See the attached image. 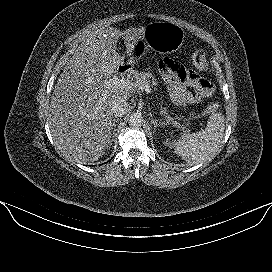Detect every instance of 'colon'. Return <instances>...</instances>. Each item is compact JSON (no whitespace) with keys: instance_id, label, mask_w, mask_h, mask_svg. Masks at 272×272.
<instances>
[{"instance_id":"1","label":"colon","mask_w":272,"mask_h":272,"mask_svg":"<svg viewBox=\"0 0 272 272\" xmlns=\"http://www.w3.org/2000/svg\"><path fill=\"white\" fill-rule=\"evenodd\" d=\"M192 62L199 70H205L206 68V60L205 56L201 51L194 52L192 55ZM220 106L217 104H212L198 113H190V114H178L176 118L180 121H190L195 118L203 117L212 113L219 111Z\"/></svg>"}]
</instances>
